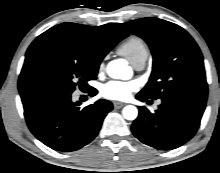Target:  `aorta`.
<instances>
[{
	"mask_svg": "<svg viewBox=\"0 0 220 173\" xmlns=\"http://www.w3.org/2000/svg\"><path fill=\"white\" fill-rule=\"evenodd\" d=\"M107 73L114 79H128L130 77V68L123 60H113L107 66ZM123 117L127 120H135L138 116V110L133 105L124 107Z\"/></svg>",
	"mask_w": 220,
	"mask_h": 173,
	"instance_id": "1",
	"label": "aorta"
}]
</instances>
